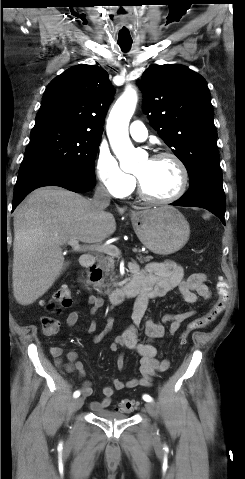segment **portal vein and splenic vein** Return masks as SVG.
<instances>
[{
  "label": "portal vein and splenic vein",
  "mask_w": 245,
  "mask_h": 479,
  "mask_svg": "<svg viewBox=\"0 0 245 479\" xmlns=\"http://www.w3.org/2000/svg\"><path fill=\"white\" fill-rule=\"evenodd\" d=\"M67 244L70 245L72 248H74L77 251L95 250V251L102 252V253H105V254H108V255H111V256H115V257H118L121 254L120 250L114 245H99L98 244V245H82V246H80L79 241L75 240V239L69 240ZM132 251L137 253L138 249L133 248Z\"/></svg>",
  "instance_id": "1"
}]
</instances>
